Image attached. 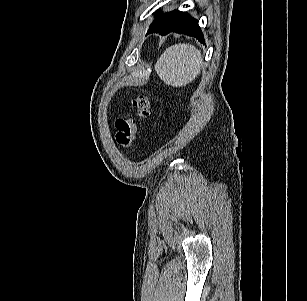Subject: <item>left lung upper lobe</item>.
Wrapping results in <instances>:
<instances>
[{
	"instance_id": "1",
	"label": "left lung upper lobe",
	"mask_w": 307,
	"mask_h": 301,
	"mask_svg": "<svg viewBox=\"0 0 307 301\" xmlns=\"http://www.w3.org/2000/svg\"><path fill=\"white\" fill-rule=\"evenodd\" d=\"M158 12H159V11H156V12H155V14L157 15V17H156V19L153 21V23L151 24V26L154 25V24H156V23H158L161 19H163V18L167 15V13H165V14H163V15H158Z\"/></svg>"
}]
</instances>
